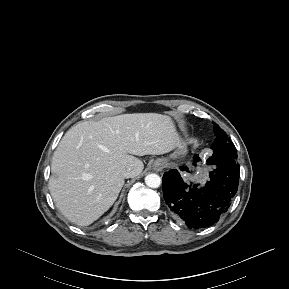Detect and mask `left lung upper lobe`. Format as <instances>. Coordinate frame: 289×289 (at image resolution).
Returning <instances> with one entry per match:
<instances>
[{"label": "left lung upper lobe", "mask_w": 289, "mask_h": 289, "mask_svg": "<svg viewBox=\"0 0 289 289\" xmlns=\"http://www.w3.org/2000/svg\"><path fill=\"white\" fill-rule=\"evenodd\" d=\"M213 124V131L216 139L211 146V149L213 150L212 157H215L218 160L236 159L237 153L234 144L216 123L213 122Z\"/></svg>", "instance_id": "obj_1"}]
</instances>
